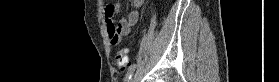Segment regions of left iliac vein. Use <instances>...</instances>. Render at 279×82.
<instances>
[{
    "instance_id": "left-iliac-vein-1",
    "label": "left iliac vein",
    "mask_w": 279,
    "mask_h": 82,
    "mask_svg": "<svg viewBox=\"0 0 279 82\" xmlns=\"http://www.w3.org/2000/svg\"><path fill=\"white\" fill-rule=\"evenodd\" d=\"M130 82H134V79L132 78Z\"/></svg>"
}]
</instances>
